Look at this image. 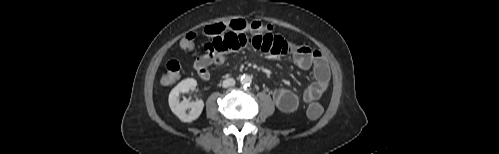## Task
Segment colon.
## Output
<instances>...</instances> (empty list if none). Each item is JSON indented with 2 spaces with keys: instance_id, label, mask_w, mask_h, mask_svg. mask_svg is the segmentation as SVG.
<instances>
[{
  "instance_id": "obj_1",
  "label": "colon",
  "mask_w": 499,
  "mask_h": 154,
  "mask_svg": "<svg viewBox=\"0 0 499 154\" xmlns=\"http://www.w3.org/2000/svg\"><path fill=\"white\" fill-rule=\"evenodd\" d=\"M256 31V32H271L272 26L264 24L260 21H246L244 19H233L228 22H219L206 26L202 34L205 37L214 38L227 31ZM196 34L193 32L187 33L179 41V47L182 50H191L194 46ZM181 72V65L177 60H170L166 64V71L163 74L162 81L164 84H172L175 82ZM323 113V108L318 102H312L307 108V115L310 119H318Z\"/></svg>"
}]
</instances>
